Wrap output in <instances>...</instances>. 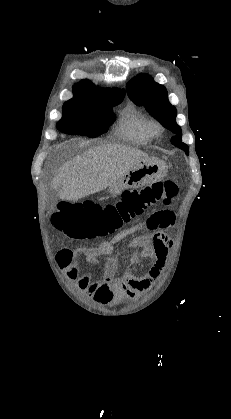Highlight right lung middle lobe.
Returning a JSON list of instances; mask_svg holds the SVG:
<instances>
[{
  "mask_svg": "<svg viewBox=\"0 0 231 419\" xmlns=\"http://www.w3.org/2000/svg\"><path fill=\"white\" fill-rule=\"evenodd\" d=\"M123 98L105 102H66L57 128L70 135L97 137L106 132L115 115L112 107Z\"/></svg>",
  "mask_w": 231,
  "mask_h": 419,
  "instance_id": "obj_1",
  "label": "right lung middle lobe"
}]
</instances>
